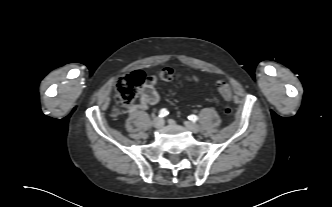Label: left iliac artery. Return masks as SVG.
<instances>
[{"mask_svg": "<svg viewBox=\"0 0 332 207\" xmlns=\"http://www.w3.org/2000/svg\"><path fill=\"white\" fill-rule=\"evenodd\" d=\"M188 118L193 122L198 120V117L196 115H190Z\"/></svg>", "mask_w": 332, "mask_h": 207, "instance_id": "obj_1", "label": "left iliac artery"}]
</instances>
